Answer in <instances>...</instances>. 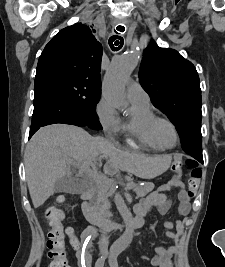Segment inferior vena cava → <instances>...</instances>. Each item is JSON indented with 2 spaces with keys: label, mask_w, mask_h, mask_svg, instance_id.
Listing matches in <instances>:
<instances>
[{
  "label": "inferior vena cava",
  "mask_w": 225,
  "mask_h": 267,
  "mask_svg": "<svg viewBox=\"0 0 225 267\" xmlns=\"http://www.w3.org/2000/svg\"><path fill=\"white\" fill-rule=\"evenodd\" d=\"M97 140L102 141V142H109L107 139H105V138H103V137H97ZM101 180H102V178H99V179H98L99 182H100ZM107 243H108V238H107V236L103 235L102 238H101V240H100V242H99V244H100L101 246H106Z\"/></svg>",
  "instance_id": "obj_1"
}]
</instances>
